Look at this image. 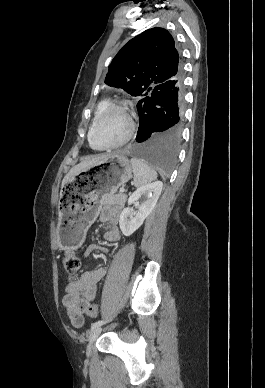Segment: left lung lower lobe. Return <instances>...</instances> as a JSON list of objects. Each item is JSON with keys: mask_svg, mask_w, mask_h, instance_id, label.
<instances>
[{"mask_svg": "<svg viewBox=\"0 0 265 388\" xmlns=\"http://www.w3.org/2000/svg\"><path fill=\"white\" fill-rule=\"evenodd\" d=\"M183 75L160 84L137 103L139 128L131 154L163 171L175 163L183 123Z\"/></svg>", "mask_w": 265, "mask_h": 388, "instance_id": "1", "label": "left lung lower lobe"}]
</instances>
